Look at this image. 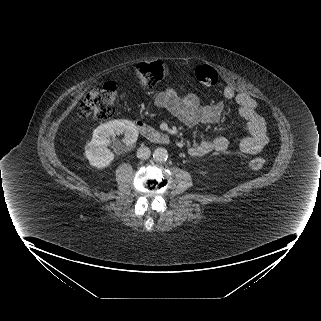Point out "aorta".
<instances>
[{
  "label": "aorta",
  "instance_id": "1",
  "mask_svg": "<svg viewBox=\"0 0 321 321\" xmlns=\"http://www.w3.org/2000/svg\"><path fill=\"white\" fill-rule=\"evenodd\" d=\"M153 158L158 162H164L168 158V152L165 148L158 147L153 153Z\"/></svg>",
  "mask_w": 321,
  "mask_h": 321
}]
</instances>
